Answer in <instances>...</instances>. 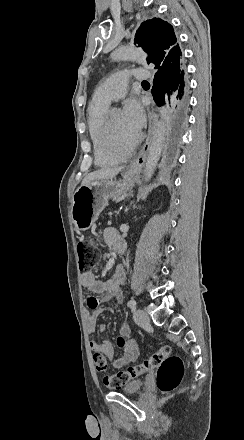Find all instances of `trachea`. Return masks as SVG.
I'll list each match as a JSON object with an SVG mask.
<instances>
[{"instance_id":"trachea-1","label":"trachea","mask_w":244,"mask_h":440,"mask_svg":"<svg viewBox=\"0 0 244 440\" xmlns=\"http://www.w3.org/2000/svg\"><path fill=\"white\" fill-rule=\"evenodd\" d=\"M142 83H148V82H147V80H143V82H142Z\"/></svg>"}]
</instances>
